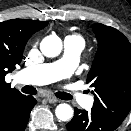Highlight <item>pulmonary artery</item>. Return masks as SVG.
I'll list each match as a JSON object with an SVG mask.
<instances>
[{
    "instance_id": "e3ab8cb5",
    "label": "pulmonary artery",
    "mask_w": 131,
    "mask_h": 131,
    "mask_svg": "<svg viewBox=\"0 0 131 131\" xmlns=\"http://www.w3.org/2000/svg\"><path fill=\"white\" fill-rule=\"evenodd\" d=\"M83 48L84 44L80 39L66 38L62 58L52 63L23 69L19 73L20 81L31 85H43L69 77L79 61ZM68 94L83 107L90 108L93 105L91 96L83 95L76 89L69 91Z\"/></svg>"
}]
</instances>
